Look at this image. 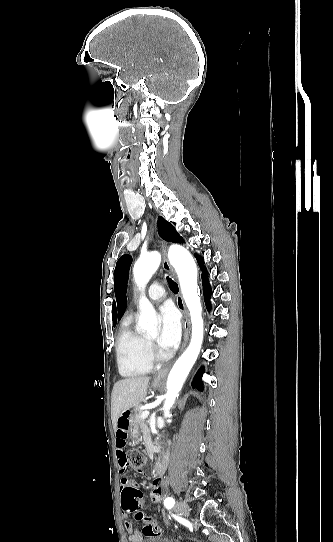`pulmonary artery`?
Wrapping results in <instances>:
<instances>
[{
  "instance_id": "obj_1",
  "label": "pulmonary artery",
  "mask_w": 333,
  "mask_h": 542,
  "mask_svg": "<svg viewBox=\"0 0 333 542\" xmlns=\"http://www.w3.org/2000/svg\"><path fill=\"white\" fill-rule=\"evenodd\" d=\"M166 294L162 292V287L160 285L152 284L148 288V298L152 302H161L164 300Z\"/></svg>"
}]
</instances>
